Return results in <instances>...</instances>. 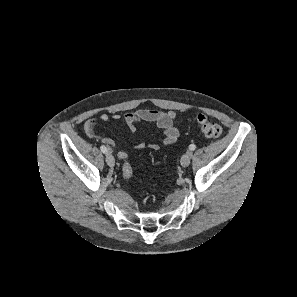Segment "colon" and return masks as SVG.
<instances>
[{"label":"colon","instance_id":"colon-1","mask_svg":"<svg viewBox=\"0 0 297 297\" xmlns=\"http://www.w3.org/2000/svg\"><path fill=\"white\" fill-rule=\"evenodd\" d=\"M196 120L202 134L207 138L216 139L221 136L222 128L217 122L208 119L202 114L198 115ZM117 156L121 162L129 160V155L124 150L118 151ZM123 176L126 180H130L133 177V169L128 163L124 164Z\"/></svg>","mask_w":297,"mask_h":297}]
</instances>
